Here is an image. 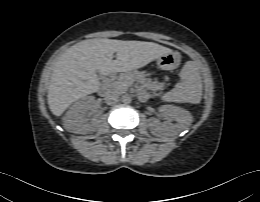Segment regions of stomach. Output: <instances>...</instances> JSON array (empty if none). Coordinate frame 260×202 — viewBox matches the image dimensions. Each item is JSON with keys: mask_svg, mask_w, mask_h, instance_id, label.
<instances>
[{"mask_svg": "<svg viewBox=\"0 0 260 202\" xmlns=\"http://www.w3.org/2000/svg\"><path fill=\"white\" fill-rule=\"evenodd\" d=\"M180 56L177 53L171 52L163 54L157 58V65L163 70H173L178 67Z\"/></svg>", "mask_w": 260, "mask_h": 202, "instance_id": "1", "label": "stomach"}]
</instances>
